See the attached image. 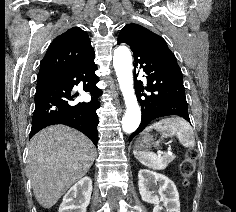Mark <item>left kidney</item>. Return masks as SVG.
<instances>
[{
    "instance_id": "1",
    "label": "left kidney",
    "mask_w": 236,
    "mask_h": 212,
    "mask_svg": "<svg viewBox=\"0 0 236 212\" xmlns=\"http://www.w3.org/2000/svg\"><path fill=\"white\" fill-rule=\"evenodd\" d=\"M138 186L142 199L154 204L153 212H160V199L156 188L164 202L167 212H180L179 193L174 182L165 175L141 169L138 173Z\"/></svg>"
}]
</instances>
